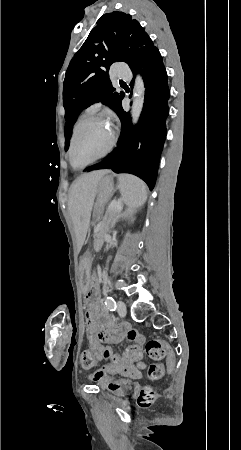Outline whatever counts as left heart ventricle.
Returning <instances> with one entry per match:
<instances>
[{"label": "left heart ventricle", "instance_id": "1", "mask_svg": "<svg viewBox=\"0 0 241 450\" xmlns=\"http://www.w3.org/2000/svg\"><path fill=\"white\" fill-rule=\"evenodd\" d=\"M78 124V125H77ZM75 126L81 134L76 135L80 139L78 156L75 159L77 165H85L87 160H100L103 145L110 137L109 122L104 114L90 113L83 116Z\"/></svg>", "mask_w": 241, "mask_h": 450}]
</instances>
